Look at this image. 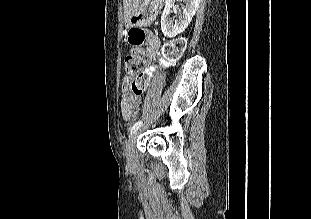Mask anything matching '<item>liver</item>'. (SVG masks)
<instances>
[{"label":"liver","instance_id":"6515ba94","mask_svg":"<svg viewBox=\"0 0 311 219\" xmlns=\"http://www.w3.org/2000/svg\"><path fill=\"white\" fill-rule=\"evenodd\" d=\"M139 0H124V17L128 21L135 9L138 7Z\"/></svg>","mask_w":311,"mask_h":219}]
</instances>
